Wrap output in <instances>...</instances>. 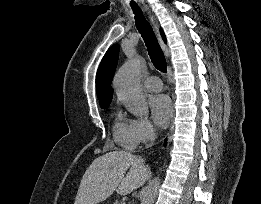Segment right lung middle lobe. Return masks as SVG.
<instances>
[{
    "label": "right lung middle lobe",
    "mask_w": 261,
    "mask_h": 204,
    "mask_svg": "<svg viewBox=\"0 0 261 204\" xmlns=\"http://www.w3.org/2000/svg\"><path fill=\"white\" fill-rule=\"evenodd\" d=\"M110 102H107V103H103V104H100V107L105 109L109 106Z\"/></svg>",
    "instance_id": "1"
}]
</instances>
